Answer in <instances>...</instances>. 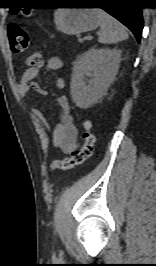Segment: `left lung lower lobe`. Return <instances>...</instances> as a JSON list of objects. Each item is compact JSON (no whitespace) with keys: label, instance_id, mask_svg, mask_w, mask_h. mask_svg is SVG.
Returning <instances> with one entry per match:
<instances>
[{"label":"left lung lower lobe","instance_id":"left-lung-lower-lobe-1","mask_svg":"<svg viewBox=\"0 0 156 266\" xmlns=\"http://www.w3.org/2000/svg\"><path fill=\"white\" fill-rule=\"evenodd\" d=\"M70 3L81 5H101L107 13L118 19L122 24L128 27L137 41L140 42L143 17L141 7L137 6L134 0H68Z\"/></svg>","mask_w":156,"mask_h":266}]
</instances>
